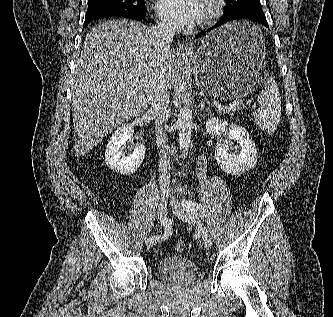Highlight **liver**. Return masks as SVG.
Instances as JSON below:
<instances>
[{
	"label": "liver",
	"mask_w": 333,
	"mask_h": 317,
	"mask_svg": "<svg viewBox=\"0 0 333 317\" xmlns=\"http://www.w3.org/2000/svg\"><path fill=\"white\" fill-rule=\"evenodd\" d=\"M178 61L152 28L126 19L93 27L86 35L72 80L74 152L88 154L113 129L151 104L161 75L173 86Z\"/></svg>",
	"instance_id": "1"
}]
</instances>
